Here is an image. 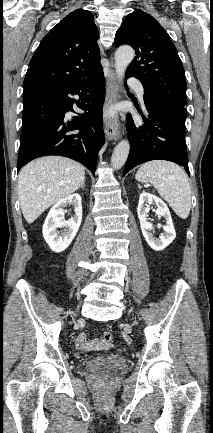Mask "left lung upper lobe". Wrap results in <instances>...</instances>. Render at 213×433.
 <instances>
[{"mask_svg":"<svg viewBox=\"0 0 213 433\" xmlns=\"http://www.w3.org/2000/svg\"><path fill=\"white\" fill-rule=\"evenodd\" d=\"M128 44L136 57L126 75L137 78L144 97L186 111V78L181 60L166 30L142 10L130 13L118 29L114 45Z\"/></svg>","mask_w":213,"mask_h":433,"instance_id":"1","label":"left lung upper lobe"}]
</instances>
